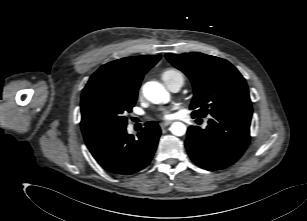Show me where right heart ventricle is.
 I'll use <instances>...</instances> for the list:
<instances>
[{
	"mask_svg": "<svg viewBox=\"0 0 307 221\" xmlns=\"http://www.w3.org/2000/svg\"><path fill=\"white\" fill-rule=\"evenodd\" d=\"M177 77H183V74L180 71L173 68L165 69L161 73V78L166 85H168L173 79Z\"/></svg>",
	"mask_w": 307,
	"mask_h": 221,
	"instance_id": "1",
	"label": "right heart ventricle"
}]
</instances>
